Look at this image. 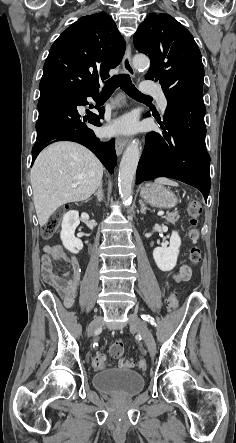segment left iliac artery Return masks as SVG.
<instances>
[{
  "instance_id": "44dca946",
  "label": "left iliac artery",
  "mask_w": 236,
  "mask_h": 443,
  "mask_svg": "<svg viewBox=\"0 0 236 443\" xmlns=\"http://www.w3.org/2000/svg\"><path fill=\"white\" fill-rule=\"evenodd\" d=\"M141 318H142L144 321L150 323L152 326H155V327H156L155 319H154L152 316L143 314V315H141Z\"/></svg>"
}]
</instances>
